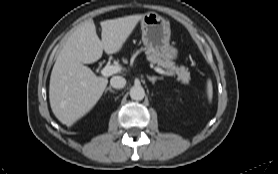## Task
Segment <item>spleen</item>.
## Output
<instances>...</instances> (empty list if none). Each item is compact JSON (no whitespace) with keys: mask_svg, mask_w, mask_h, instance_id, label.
I'll return each instance as SVG.
<instances>
[{"mask_svg":"<svg viewBox=\"0 0 278 174\" xmlns=\"http://www.w3.org/2000/svg\"><path fill=\"white\" fill-rule=\"evenodd\" d=\"M206 93H207L209 101H211L212 97H213V86H212V82L210 79H208L207 83H206Z\"/></svg>","mask_w":278,"mask_h":174,"instance_id":"obj_1","label":"spleen"}]
</instances>
